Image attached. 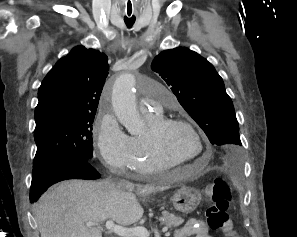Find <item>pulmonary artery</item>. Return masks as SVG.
<instances>
[{
    "mask_svg": "<svg viewBox=\"0 0 297 237\" xmlns=\"http://www.w3.org/2000/svg\"><path fill=\"white\" fill-rule=\"evenodd\" d=\"M147 93L149 98L141 106L143 112L149 113V108L154 111H159L161 107L173 108L176 105V100L173 95L168 92H159L151 87L147 88Z\"/></svg>",
    "mask_w": 297,
    "mask_h": 237,
    "instance_id": "pulmonary-artery-1",
    "label": "pulmonary artery"
}]
</instances>
